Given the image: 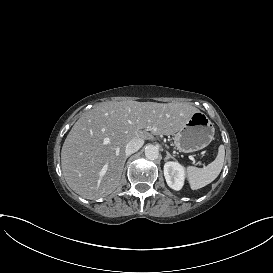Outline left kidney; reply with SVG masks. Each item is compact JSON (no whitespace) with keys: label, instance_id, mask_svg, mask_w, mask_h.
<instances>
[{"label":"left kidney","instance_id":"5707ae66","mask_svg":"<svg viewBox=\"0 0 273 273\" xmlns=\"http://www.w3.org/2000/svg\"><path fill=\"white\" fill-rule=\"evenodd\" d=\"M184 167L178 162H166L164 176L168 186L176 191L184 185Z\"/></svg>","mask_w":273,"mask_h":273}]
</instances>
